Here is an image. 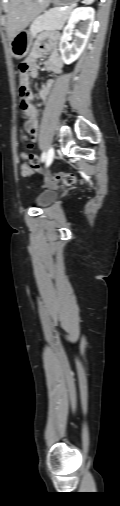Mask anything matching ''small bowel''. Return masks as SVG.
Segmentation results:
<instances>
[{
	"label": "small bowel",
	"instance_id": "small-bowel-1",
	"mask_svg": "<svg viewBox=\"0 0 120 506\" xmlns=\"http://www.w3.org/2000/svg\"><path fill=\"white\" fill-rule=\"evenodd\" d=\"M58 35H42L34 44L29 56L24 63L27 64L28 70L20 73V87L27 90L28 95L24 98L22 103V111L26 117V129L35 140L38 134V116L39 109L33 102V89L30 82V77L38 76V58L45 56L44 69L56 74H60L63 68V62L58 54ZM53 79H48L42 85L39 96L43 102H46L50 91L54 85Z\"/></svg>",
	"mask_w": 120,
	"mask_h": 506
}]
</instances>
